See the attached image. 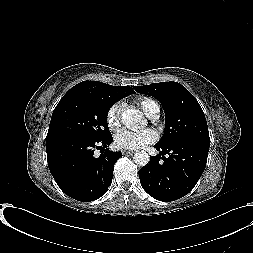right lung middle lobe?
Listing matches in <instances>:
<instances>
[{"instance_id": "obj_1", "label": "right lung middle lobe", "mask_w": 253, "mask_h": 253, "mask_svg": "<svg viewBox=\"0 0 253 253\" xmlns=\"http://www.w3.org/2000/svg\"><path fill=\"white\" fill-rule=\"evenodd\" d=\"M116 101L109 96L70 89L53 111L46 142L67 136L91 139L110 136L107 115Z\"/></svg>"}]
</instances>
